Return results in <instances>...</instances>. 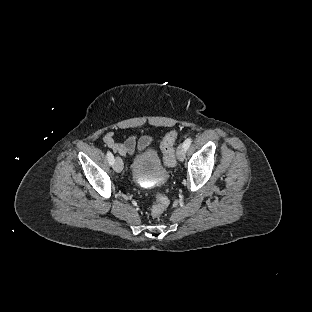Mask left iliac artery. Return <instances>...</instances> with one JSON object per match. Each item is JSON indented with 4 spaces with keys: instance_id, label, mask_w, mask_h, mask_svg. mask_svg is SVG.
<instances>
[{
    "instance_id": "obj_1",
    "label": "left iliac artery",
    "mask_w": 312,
    "mask_h": 312,
    "mask_svg": "<svg viewBox=\"0 0 312 312\" xmlns=\"http://www.w3.org/2000/svg\"><path fill=\"white\" fill-rule=\"evenodd\" d=\"M192 143V139L191 138H188L184 141L183 143V147L185 148V150H187L189 148V146L191 145Z\"/></svg>"
}]
</instances>
